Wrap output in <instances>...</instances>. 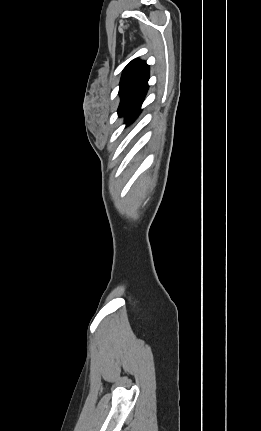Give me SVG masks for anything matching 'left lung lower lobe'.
<instances>
[{
  "label": "left lung lower lobe",
  "instance_id": "obj_1",
  "mask_svg": "<svg viewBox=\"0 0 261 431\" xmlns=\"http://www.w3.org/2000/svg\"><path fill=\"white\" fill-rule=\"evenodd\" d=\"M148 90V83L144 85V87L140 90L137 96L134 98L130 106L128 107L125 113V123L129 125L132 123L141 112V104L145 98V95Z\"/></svg>",
  "mask_w": 261,
  "mask_h": 431
}]
</instances>
